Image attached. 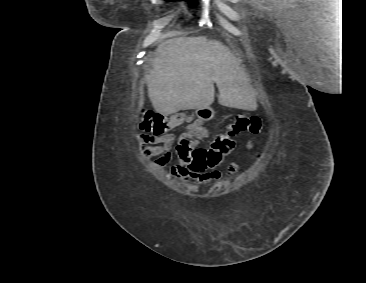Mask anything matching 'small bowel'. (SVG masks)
Segmentation results:
<instances>
[{"label":"small bowel","mask_w":366,"mask_h":283,"mask_svg":"<svg viewBox=\"0 0 366 283\" xmlns=\"http://www.w3.org/2000/svg\"><path fill=\"white\" fill-rule=\"evenodd\" d=\"M141 144V152L145 158L157 157L155 165L164 167L169 164L171 160V150L174 145L175 137L173 134H164L161 136L143 134L139 136ZM246 147L248 150L253 149L254 143L252 140H248ZM217 152H220L216 149ZM221 153L219 156L221 160L214 167L201 172L191 171L188 168L177 165L171 169V173L174 177L191 182L195 185H204L213 181H219L224 176L230 177L238 171V166L235 163H230L225 173H222L217 168L222 165L226 157L231 153Z\"/></svg>","instance_id":"obj_1"}]
</instances>
